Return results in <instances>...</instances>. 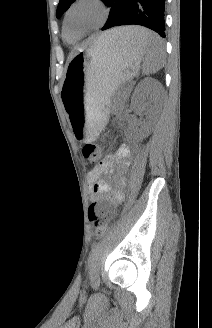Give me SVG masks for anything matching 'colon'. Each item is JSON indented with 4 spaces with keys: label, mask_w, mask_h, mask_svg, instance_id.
I'll return each mask as SVG.
<instances>
[{
    "label": "colon",
    "mask_w": 212,
    "mask_h": 328,
    "mask_svg": "<svg viewBox=\"0 0 212 328\" xmlns=\"http://www.w3.org/2000/svg\"><path fill=\"white\" fill-rule=\"evenodd\" d=\"M83 156L89 164H96L100 156V148L97 144L88 143L83 147ZM107 207L94 202L88 210L89 220L94 223L97 235L102 236L106 232V225L101 222L102 217L106 214Z\"/></svg>",
    "instance_id": "1"
}]
</instances>
